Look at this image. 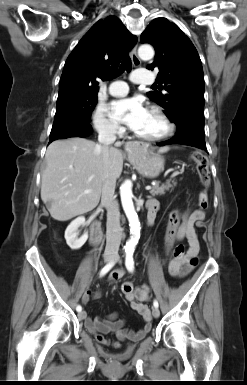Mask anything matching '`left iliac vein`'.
<instances>
[{
  "label": "left iliac vein",
  "mask_w": 247,
  "mask_h": 385,
  "mask_svg": "<svg viewBox=\"0 0 247 385\" xmlns=\"http://www.w3.org/2000/svg\"><path fill=\"white\" fill-rule=\"evenodd\" d=\"M118 260L120 261V259L118 258ZM152 315H153V317H155V318H158L159 317V315H160V311H159V309L158 308H156V307H154L153 309H152Z\"/></svg>",
  "instance_id": "obj_1"
}]
</instances>
